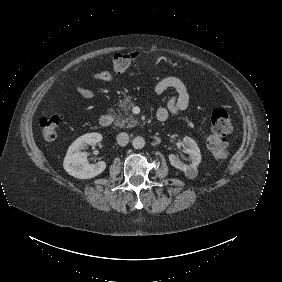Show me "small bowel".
Returning a JSON list of instances; mask_svg holds the SVG:
<instances>
[{
    "mask_svg": "<svg viewBox=\"0 0 282 282\" xmlns=\"http://www.w3.org/2000/svg\"><path fill=\"white\" fill-rule=\"evenodd\" d=\"M93 80L106 83H114L116 77L107 70L96 71L91 74ZM75 90L85 98H93L96 93L86 89L80 84L74 85ZM173 90L175 94L168 100L166 107H160L156 112L159 121H166L170 114L178 115L189 105V93L186 84L176 76H167L162 78L154 87L156 94L161 95L167 90Z\"/></svg>",
    "mask_w": 282,
    "mask_h": 282,
    "instance_id": "small-bowel-1",
    "label": "small bowel"
}]
</instances>
